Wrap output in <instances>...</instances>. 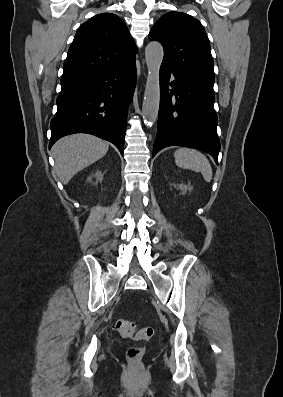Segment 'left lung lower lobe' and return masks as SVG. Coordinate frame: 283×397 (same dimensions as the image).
I'll use <instances>...</instances> for the list:
<instances>
[{"label":"left lung lower lobe","mask_w":283,"mask_h":397,"mask_svg":"<svg viewBox=\"0 0 283 397\" xmlns=\"http://www.w3.org/2000/svg\"><path fill=\"white\" fill-rule=\"evenodd\" d=\"M214 91L176 72L160 68V107L153 157L168 146L196 148L210 154L218 164L220 141L216 127Z\"/></svg>","instance_id":"left-lung-lower-lobe-1"}]
</instances>
